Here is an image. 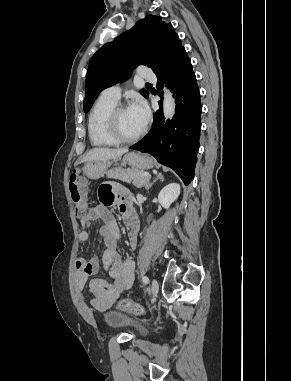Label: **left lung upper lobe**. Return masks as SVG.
<instances>
[{"label": "left lung upper lobe", "instance_id": "1", "mask_svg": "<svg viewBox=\"0 0 291 381\" xmlns=\"http://www.w3.org/2000/svg\"><path fill=\"white\" fill-rule=\"evenodd\" d=\"M182 48L171 23L153 15L141 19L91 58L85 82L84 112L89 111L103 89L124 81L138 65L150 67L157 75ZM140 93L144 97L149 95L145 89Z\"/></svg>", "mask_w": 291, "mask_h": 381}]
</instances>
